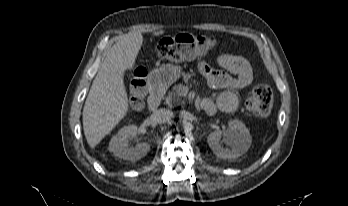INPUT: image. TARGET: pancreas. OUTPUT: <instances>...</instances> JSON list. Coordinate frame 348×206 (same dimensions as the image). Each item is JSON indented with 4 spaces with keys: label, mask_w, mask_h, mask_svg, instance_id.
<instances>
[{
    "label": "pancreas",
    "mask_w": 348,
    "mask_h": 206,
    "mask_svg": "<svg viewBox=\"0 0 348 206\" xmlns=\"http://www.w3.org/2000/svg\"><path fill=\"white\" fill-rule=\"evenodd\" d=\"M184 88L183 84L174 85L172 90L168 92L165 99V104L168 106H176L181 103L180 97L182 96V90Z\"/></svg>",
    "instance_id": "obj_1"
}]
</instances>
